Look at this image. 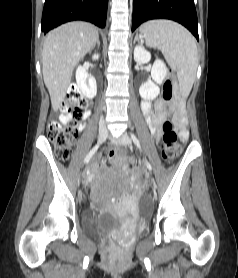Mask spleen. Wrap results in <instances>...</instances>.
Segmentation results:
<instances>
[{"label":"spleen","mask_w":238,"mask_h":278,"mask_svg":"<svg viewBox=\"0 0 238 278\" xmlns=\"http://www.w3.org/2000/svg\"><path fill=\"white\" fill-rule=\"evenodd\" d=\"M146 44L162 51L170 67L177 72L180 91L192 89L198 67V52L193 35L178 23L152 20L141 27Z\"/></svg>","instance_id":"spleen-1"}]
</instances>
